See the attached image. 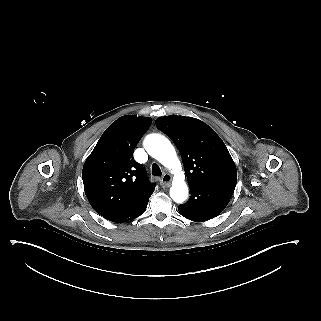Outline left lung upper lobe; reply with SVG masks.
I'll return each mask as SVG.
<instances>
[{
  "instance_id": "5c2ea615",
  "label": "left lung upper lobe",
  "mask_w": 321,
  "mask_h": 321,
  "mask_svg": "<svg viewBox=\"0 0 321 321\" xmlns=\"http://www.w3.org/2000/svg\"><path fill=\"white\" fill-rule=\"evenodd\" d=\"M156 126L180 151L189 185L237 180L236 166L226 145L204 122L170 115L157 118Z\"/></svg>"
}]
</instances>
